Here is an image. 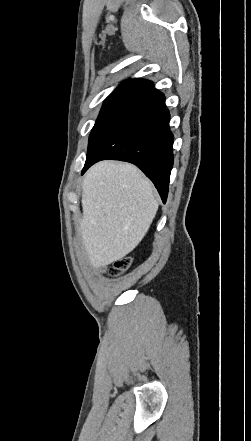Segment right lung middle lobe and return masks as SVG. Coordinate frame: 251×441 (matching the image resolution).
Instances as JSON below:
<instances>
[{
    "instance_id": "right-lung-middle-lobe-1",
    "label": "right lung middle lobe",
    "mask_w": 251,
    "mask_h": 441,
    "mask_svg": "<svg viewBox=\"0 0 251 441\" xmlns=\"http://www.w3.org/2000/svg\"><path fill=\"white\" fill-rule=\"evenodd\" d=\"M132 103L133 102L117 100L104 102L99 117L89 137L87 156L90 154L96 142L103 135V133Z\"/></svg>"
}]
</instances>
